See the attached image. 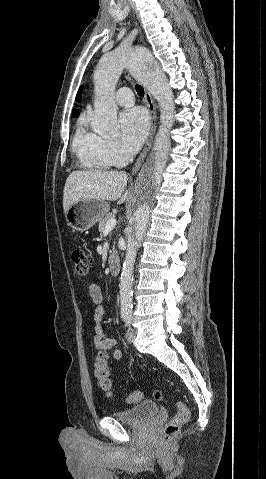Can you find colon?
<instances>
[{"instance_id":"obj_1","label":"colon","mask_w":266,"mask_h":479,"mask_svg":"<svg viewBox=\"0 0 266 479\" xmlns=\"http://www.w3.org/2000/svg\"><path fill=\"white\" fill-rule=\"evenodd\" d=\"M72 262L75 267L76 274L84 277L89 273V270L93 264L92 256L82 249H75L72 252ZM108 354L101 350L95 357V377L98 382L99 388L112 397L110 371L108 367ZM155 398L161 400L163 395L161 391L155 392ZM143 399V393L141 391H133L127 396V403L135 404ZM176 412L164 427L161 435V441L164 444L169 443L180 431L181 427L186 424L190 418V410L182 403L177 401L175 403Z\"/></svg>"}]
</instances>
